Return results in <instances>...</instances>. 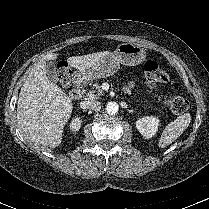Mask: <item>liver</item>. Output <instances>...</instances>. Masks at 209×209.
<instances>
[{"label":"liver","mask_w":209,"mask_h":209,"mask_svg":"<svg viewBox=\"0 0 209 209\" xmlns=\"http://www.w3.org/2000/svg\"><path fill=\"white\" fill-rule=\"evenodd\" d=\"M110 53L102 51L73 56L68 58V63L79 71H85ZM57 56L49 53L35 65L20 90L17 105L20 131L26 139L43 149L61 144L64 126L73 109L72 99L46 75V61L56 60Z\"/></svg>","instance_id":"liver-1"}]
</instances>
